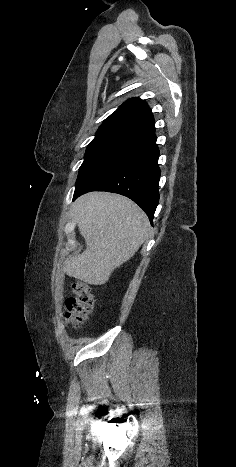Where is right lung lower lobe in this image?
<instances>
[{
    "instance_id": "obj_1",
    "label": "right lung lower lobe",
    "mask_w": 236,
    "mask_h": 467,
    "mask_svg": "<svg viewBox=\"0 0 236 467\" xmlns=\"http://www.w3.org/2000/svg\"><path fill=\"white\" fill-rule=\"evenodd\" d=\"M155 129L129 141L76 183L73 200L90 191L118 193L136 202L152 222L159 202Z\"/></svg>"
}]
</instances>
